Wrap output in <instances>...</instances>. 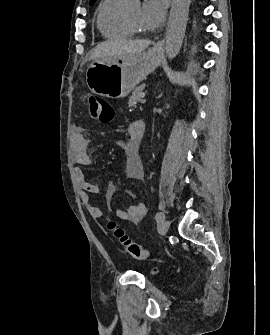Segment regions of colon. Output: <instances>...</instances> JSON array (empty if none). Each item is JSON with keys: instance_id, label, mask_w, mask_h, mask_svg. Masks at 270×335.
I'll return each instance as SVG.
<instances>
[{"instance_id": "1", "label": "colon", "mask_w": 270, "mask_h": 335, "mask_svg": "<svg viewBox=\"0 0 270 335\" xmlns=\"http://www.w3.org/2000/svg\"><path fill=\"white\" fill-rule=\"evenodd\" d=\"M89 114L93 119H96L103 124H107L114 116V110L105 99L98 97L97 95H92L90 98ZM108 226L116 239L132 258L144 260L148 257L146 248L132 242L124 229L118 226L115 221H110Z\"/></svg>"}]
</instances>
